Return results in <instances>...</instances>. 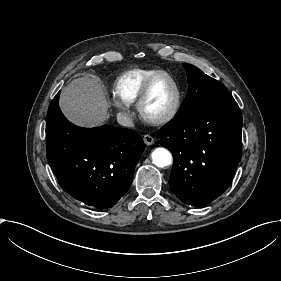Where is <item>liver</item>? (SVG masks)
<instances>
[{"label": "liver", "instance_id": "liver-1", "mask_svg": "<svg viewBox=\"0 0 281 281\" xmlns=\"http://www.w3.org/2000/svg\"><path fill=\"white\" fill-rule=\"evenodd\" d=\"M60 107L68 120L81 127L100 126L109 118L102 87L88 77L74 79L62 89Z\"/></svg>", "mask_w": 281, "mask_h": 281}]
</instances>
